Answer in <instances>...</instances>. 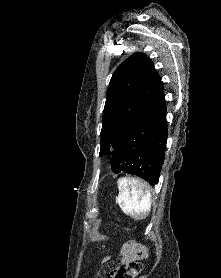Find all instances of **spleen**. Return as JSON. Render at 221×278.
<instances>
[{
	"label": "spleen",
	"mask_w": 221,
	"mask_h": 278,
	"mask_svg": "<svg viewBox=\"0 0 221 278\" xmlns=\"http://www.w3.org/2000/svg\"><path fill=\"white\" fill-rule=\"evenodd\" d=\"M119 194L116 198L121 210L134 219H144L151 211V194L145 183L134 178L118 180Z\"/></svg>",
	"instance_id": "1"
}]
</instances>
